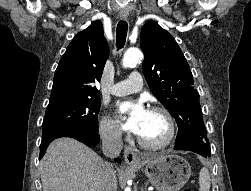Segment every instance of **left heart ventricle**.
Returning a JSON list of instances; mask_svg holds the SVG:
<instances>
[{
	"label": "left heart ventricle",
	"instance_id": "obj_1",
	"mask_svg": "<svg viewBox=\"0 0 251 191\" xmlns=\"http://www.w3.org/2000/svg\"><path fill=\"white\" fill-rule=\"evenodd\" d=\"M139 135L150 143L163 142L168 135V125L164 116L149 111Z\"/></svg>",
	"mask_w": 251,
	"mask_h": 191
}]
</instances>
